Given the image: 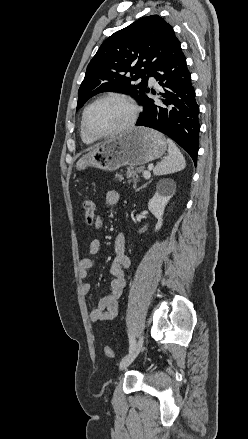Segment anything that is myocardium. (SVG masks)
<instances>
[{"label": "myocardium", "mask_w": 248, "mask_h": 439, "mask_svg": "<svg viewBox=\"0 0 248 439\" xmlns=\"http://www.w3.org/2000/svg\"><path fill=\"white\" fill-rule=\"evenodd\" d=\"M106 99H114V100H118V101L123 102L124 104H126L129 107V109L131 111V115H130V118L127 121V123L124 124L122 127L118 128L116 130L110 131V132H106V133H95L88 128V125H87L88 112L95 104H97L98 102H100L102 100H106ZM138 114H139V108L131 98H129L128 96L123 95V94L107 93V94H104V95L97 97L95 100H93L91 103H89L86 106V108L83 111L81 125H82L84 132L88 136H90L93 139H101V138H106V137H110V136H115V135L125 133V132L131 130L137 121Z\"/></svg>", "instance_id": "1"}]
</instances>
